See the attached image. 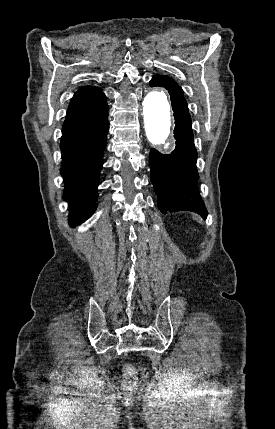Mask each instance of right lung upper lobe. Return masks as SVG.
<instances>
[{
    "mask_svg": "<svg viewBox=\"0 0 275 429\" xmlns=\"http://www.w3.org/2000/svg\"><path fill=\"white\" fill-rule=\"evenodd\" d=\"M108 108L104 93L96 87H81L73 96L63 126L92 119Z\"/></svg>",
    "mask_w": 275,
    "mask_h": 429,
    "instance_id": "1",
    "label": "right lung upper lobe"
}]
</instances>
